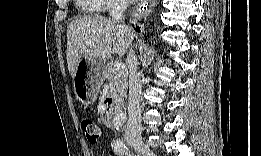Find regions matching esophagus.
<instances>
[{
  "instance_id": "34e87169",
  "label": "esophagus",
  "mask_w": 261,
  "mask_h": 156,
  "mask_svg": "<svg viewBox=\"0 0 261 156\" xmlns=\"http://www.w3.org/2000/svg\"><path fill=\"white\" fill-rule=\"evenodd\" d=\"M156 5V2L155 1H152L150 3V6H147V5H140L138 7V9L134 10L133 13H132V16L134 18H142V17H145L146 15H148L151 11H152V8Z\"/></svg>"
}]
</instances>
